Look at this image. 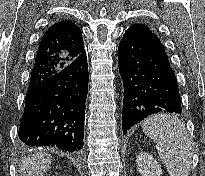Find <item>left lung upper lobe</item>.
I'll use <instances>...</instances> for the list:
<instances>
[{
  "label": "left lung upper lobe",
  "mask_w": 205,
  "mask_h": 176,
  "mask_svg": "<svg viewBox=\"0 0 205 176\" xmlns=\"http://www.w3.org/2000/svg\"><path fill=\"white\" fill-rule=\"evenodd\" d=\"M136 25H140V26L144 27L147 31L151 32L150 28L144 24H136Z\"/></svg>",
  "instance_id": "5c2ea615"
}]
</instances>
